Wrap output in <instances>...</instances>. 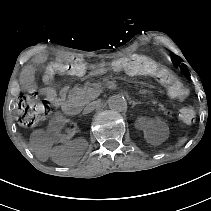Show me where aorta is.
Wrapping results in <instances>:
<instances>
[{
    "mask_svg": "<svg viewBox=\"0 0 211 211\" xmlns=\"http://www.w3.org/2000/svg\"><path fill=\"white\" fill-rule=\"evenodd\" d=\"M108 106L115 111H123L127 108V102L124 97L120 95H113L108 99Z\"/></svg>",
    "mask_w": 211,
    "mask_h": 211,
    "instance_id": "1",
    "label": "aorta"
}]
</instances>
